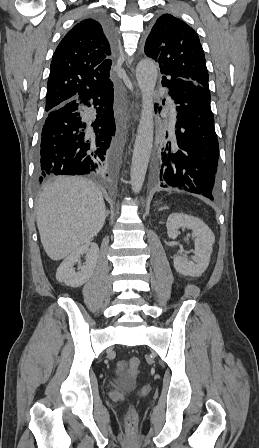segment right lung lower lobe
I'll return each instance as SVG.
<instances>
[{"label":"right lung lower lobe","mask_w":259,"mask_h":448,"mask_svg":"<svg viewBox=\"0 0 259 448\" xmlns=\"http://www.w3.org/2000/svg\"><path fill=\"white\" fill-rule=\"evenodd\" d=\"M98 21L111 42L114 59V27L104 17ZM115 133L113 86L46 111L36 153L38 181L42 182L52 174H105Z\"/></svg>","instance_id":"right-lung-lower-lobe-1"}]
</instances>
